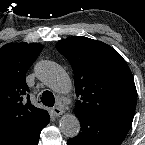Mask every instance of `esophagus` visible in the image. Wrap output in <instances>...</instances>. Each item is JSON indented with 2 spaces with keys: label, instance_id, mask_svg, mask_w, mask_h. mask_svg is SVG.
<instances>
[{
  "label": "esophagus",
  "instance_id": "esophagus-1",
  "mask_svg": "<svg viewBox=\"0 0 145 145\" xmlns=\"http://www.w3.org/2000/svg\"><path fill=\"white\" fill-rule=\"evenodd\" d=\"M52 112L55 116H60L61 114H63L64 111L60 107H53Z\"/></svg>",
  "mask_w": 145,
  "mask_h": 145
}]
</instances>
